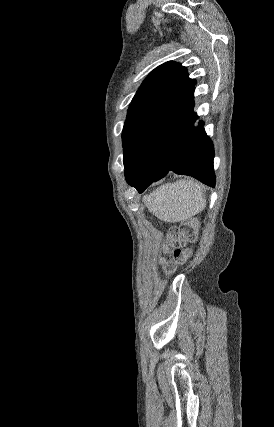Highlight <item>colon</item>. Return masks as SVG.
Segmentation results:
<instances>
[{"mask_svg":"<svg viewBox=\"0 0 274 427\" xmlns=\"http://www.w3.org/2000/svg\"><path fill=\"white\" fill-rule=\"evenodd\" d=\"M197 220L182 222L172 225L168 239L164 243V248H188L191 254V244L197 239Z\"/></svg>","mask_w":274,"mask_h":427,"instance_id":"obj_1","label":"colon"}]
</instances>
